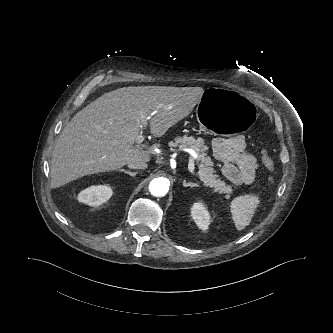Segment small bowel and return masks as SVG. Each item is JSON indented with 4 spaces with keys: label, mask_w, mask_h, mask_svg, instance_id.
Here are the masks:
<instances>
[{
    "label": "small bowel",
    "mask_w": 333,
    "mask_h": 333,
    "mask_svg": "<svg viewBox=\"0 0 333 333\" xmlns=\"http://www.w3.org/2000/svg\"><path fill=\"white\" fill-rule=\"evenodd\" d=\"M212 152L222 165L223 176L230 183L235 186H249L253 184L258 170V161L247 150L243 136L214 139Z\"/></svg>",
    "instance_id": "c3829d8e"
}]
</instances>
